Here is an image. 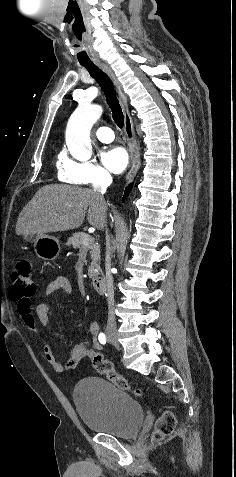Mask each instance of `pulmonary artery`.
I'll list each match as a JSON object with an SVG mask.
<instances>
[{
	"label": "pulmonary artery",
	"mask_w": 236,
	"mask_h": 477,
	"mask_svg": "<svg viewBox=\"0 0 236 477\" xmlns=\"http://www.w3.org/2000/svg\"><path fill=\"white\" fill-rule=\"evenodd\" d=\"M95 135L101 142L110 143L114 140V133L108 127H99L95 131Z\"/></svg>",
	"instance_id": "obj_1"
}]
</instances>
